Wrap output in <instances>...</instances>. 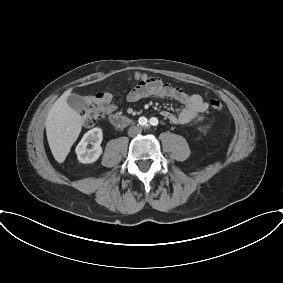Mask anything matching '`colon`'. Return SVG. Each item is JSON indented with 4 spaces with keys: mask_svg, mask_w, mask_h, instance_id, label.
Segmentation results:
<instances>
[{
    "mask_svg": "<svg viewBox=\"0 0 283 283\" xmlns=\"http://www.w3.org/2000/svg\"><path fill=\"white\" fill-rule=\"evenodd\" d=\"M142 81L150 83L154 86L159 84V79L152 76H141ZM209 106L214 111H221L223 104L219 99L213 98L209 100ZM104 111L100 106L88 105L83 110V121L85 126L93 127L102 117Z\"/></svg>",
    "mask_w": 283,
    "mask_h": 283,
    "instance_id": "obj_1",
    "label": "colon"
}]
</instances>
